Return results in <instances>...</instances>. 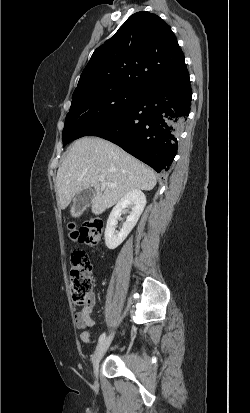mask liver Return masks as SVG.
Masks as SVG:
<instances>
[{"label":"liver","mask_w":250,"mask_h":413,"mask_svg":"<svg viewBox=\"0 0 250 413\" xmlns=\"http://www.w3.org/2000/svg\"><path fill=\"white\" fill-rule=\"evenodd\" d=\"M99 177L116 186H103ZM156 174L119 146L98 137H83L69 148L57 171L58 203L65 209L74 196L94 188L92 213L99 215L131 190H152Z\"/></svg>","instance_id":"obj_1"}]
</instances>
